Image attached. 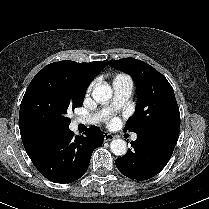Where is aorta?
I'll return each instance as SVG.
<instances>
[{"label": "aorta", "instance_id": "762f6f07", "mask_svg": "<svg viewBox=\"0 0 209 209\" xmlns=\"http://www.w3.org/2000/svg\"><path fill=\"white\" fill-rule=\"evenodd\" d=\"M113 90L108 84L97 85L92 97L96 102H107L112 98ZM110 150L116 156H123L127 152V144L123 139H114L110 143Z\"/></svg>", "mask_w": 209, "mask_h": 209}]
</instances>
